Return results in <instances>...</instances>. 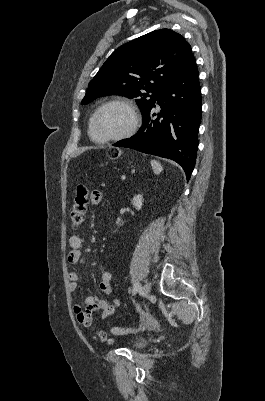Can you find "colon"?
<instances>
[{
  "label": "colon",
  "instance_id": "colon-1",
  "mask_svg": "<svg viewBox=\"0 0 265 401\" xmlns=\"http://www.w3.org/2000/svg\"><path fill=\"white\" fill-rule=\"evenodd\" d=\"M112 158H118L120 156V151L117 149H112L110 151ZM88 189L84 185H79L76 189L74 196V204L70 213V222L73 228H78L85 216L86 206L88 202ZM138 330L137 327H114L111 329V333L114 335L122 336L127 334H132Z\"/></svg>",
  "mask_w": 265,
  "mask_h": 401
}]
</instances>
